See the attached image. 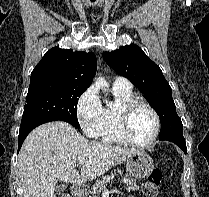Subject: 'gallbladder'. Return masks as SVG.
Instances as JSON below:
<instances>
[{
	"mask_svg": "<svg viewBox=\"0 0 209 197\" xmlns=\"http://www.w3.org/2000/svg\"><path fill=\"white\" fill-rule=\"evenodd\" d=\"M66 189V185L65 184H59L57 187H56V193L57 194H60L61 192H63L64 190Z\"/></svg>",
	"mask_w": 209,
	"mask_h": 197,
	"instance_id": "bac80fb5",
	"label": "gallbladder"
}]
</instances>
